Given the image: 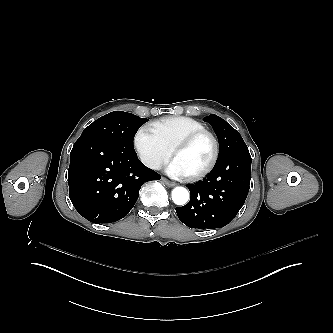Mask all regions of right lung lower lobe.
I'll return each instance as SVG.
<instances>
[{
  "label": "right lung lower lobe",
  "mask_w": 333,
  "mask_h": 333,
  "mask_svg": "<svg viewBox=\"0 0 333 333\" xmlns=\"http://www.w3.org/2000/svg\"><path fill=\"white\" fill-rule=\"evenodd\" d=\"M160 178L141 163L136 152L95 135L80 137L70 153L69 198L78 213L93 223L125 217L141 185Z\"/></svg>",
  "instance_id": "1"
}]
</instances>
